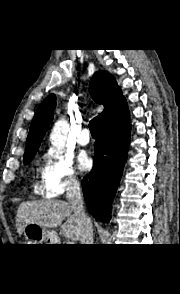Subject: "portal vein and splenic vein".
<instances>
[{
    "instance_id": "obj_1",
    "label": "portal vein and splenic vein",
    "mask_w": 180,
    "mask_h": 294,
    "mask_svg": "<svg viewBox=\"0 0 180 294\" xmlns=\"http://www.w3.org/2000/svg\"><path fill=\"white\" fill-rule=\"evenodd\" d=\"M67 244H73V242H68Z\"/></svg>"
}]
</instances>
